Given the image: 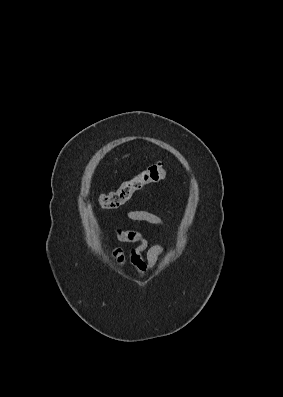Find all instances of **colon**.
Masks as SVG:
<instances>
[{
  "label": "colon",
  "mask_w": 283,
  "mask_h": 397,
  "mask_svg": "<svg viewBox=\"0 0 283 397\" xmlns=\"http://www.w3.org/2000/svg\"><path fill=\"white\" fill-rule=\"evenodd\" d=\"M168 176L166 168L156 163L142 169L131 178L123 181L116 189L101 194L99 203L104 209H116L124 205L142 188L163 181Z\"/></svg>",
  "instance_id": "colon-1"
}]
</instances>
